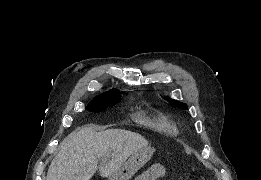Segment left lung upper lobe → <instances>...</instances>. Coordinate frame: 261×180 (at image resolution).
<instances>
[{
	"label": "left lung upper lobe",
	"mask_w": 261,
	"mask_h": 180,
	"mask_svg": "<svg viewBox=\"0 0 261 180\" xmlns=\"http://www.w3.org/2000/svg\"><path fill=\"white\" fill-rule=\"evenodd\" d=\"M166 100H167L168 102H170L171 104L175 105V106H178V107H182V108H184V109H187L186 104H183V103H181V102H178V101L173 100V99H170V98H166Z\"/></svg>",
	"instance_id": "5c2ea615"
}]
</instances>
